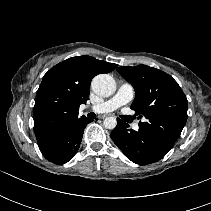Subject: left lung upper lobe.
I'll use <instances>...</instances> for the list:
<instances>
[{
    "label": "left lung upper lobe",
    "mask_w": 211,
    "mask_h": 211,
    "mask_svg": "<svg viewBox=\"0 0 211 211\" xmlns=\"http://www.w3.org/2000/svg\"><path fill=\"white\" fill-rule=\"evenodd\" d=\"M117 71L135 89L131 109L144 118L140 129L172 148L188 117V101L178 83L167 73L147 65L122 66Z\"/></svg>",
    "instance_id": "left-lung-upper-lobe-1"
}]
</instances>
